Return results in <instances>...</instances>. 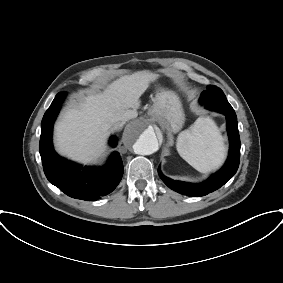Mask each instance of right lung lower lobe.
Listing matches in <instances>:
<instances>
[{"instance_id":"98d812e1","label":"right lung lower lobe","mask_w":283,"mask_h":283,"mask_svg":"<svg viewBox=\"0 0 283 283\" xmlns=\"http://www.w3.org/2000/svg\"><path fill=\"white\" fill-rule=\"evenodd\" d=\"M65 92H59L43 116L39 151L44 173L53 185L66 195L95 201L112 192L123 176V164L118 153H113L108 164L100 169L82 168L56 154L52 146V130L54 121L60 111ZM116 138L111 144L116 145Z\"/></svg>"}]
</instances>
